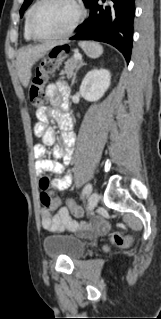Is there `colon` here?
<instances>
[{
  "mask_svg": "<svg viewBox=\"0 0 161 319\" xmlns=\"http://www.w3.org/2000/svg\"><path fill=\"white\" fill-rule=\"evenodd\" d=\"M69 47L67 45H58L54 47L40 62L36 68L35 75L29 84V99L34 107H39L44 103L43 88L48 82L49 74L60 66L63 59L67 56ZM42 191L40 193L41 205L48 210H52L60 204L59 199L53 198L47 191L52 184V180L44 176L40 180ZM113 243L118 247H127L132 243L130 236L114 235Z\"/></svg>",
  "mask_w": 161,
  "mask_h": 319,
  "instance_id": "colon-1",
  "label": "colon"
}]
</instances>
